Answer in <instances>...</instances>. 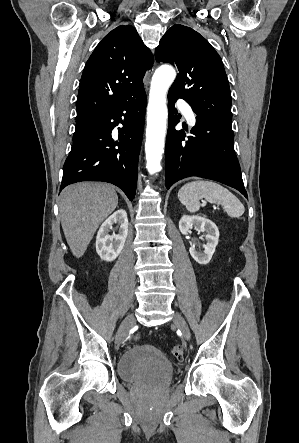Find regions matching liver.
Instances as JSON below:
<instances>
[{
    "mask_svg": "<svg viewBox=\"0 0 299 443\" xmlns=\"http://www.w3.org/2000/svg\"><path fill=\"white\" fill-rule=\"evenodd\" d=\"M117 205L118 196L114 188L103 183H77L61 192V225L76 258L83 256L99 225Z\"/></svg>",
    "mask_w": 299,
    "mask_h": 443,
    "instance_id": "1",
    "label": "liver"
}]
</instances>
